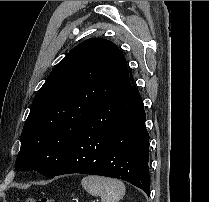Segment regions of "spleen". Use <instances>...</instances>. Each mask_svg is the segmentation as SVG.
Returning <instances> with one entry per match:
<instances>
[{
  "label": "spleen",
  "mask_w": 209,
  "mask_h": 202,
  "mask_svg": "<svg viewBox=\"0 0 209 202\" xmlns=\"http://www.w3.org/2000/svg\"><path fill=\"white\" fill-rule=\"evenodd\" d=\"M82 187L101 202H118L125 195V185L118 179L89 175L81 180Z\"/></svg>",
  "instance_id": "obj_1"
}]
</instances>
